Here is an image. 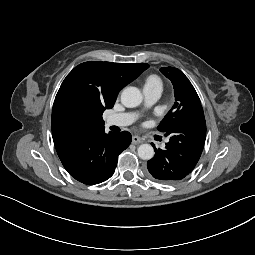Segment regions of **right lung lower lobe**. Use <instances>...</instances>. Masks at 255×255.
<instances>
[{"label": "right lung lower lobe", "instance_id": "98d812e1", "mask_svg": "<svg viewBox=\"0 0 255 255\" xmlns=\"http://www.w3.org/2000/svg\"><path fill=\"white\" fill-rule=\"evenodd\" d=\"M131 140L127 131L106 134L103 129L54 144L68 173L79 182L94 185L114 174L118 155L130 145Z\"/></svg>", "mask_w": 255, "mask_h": 255}]
</instances>
